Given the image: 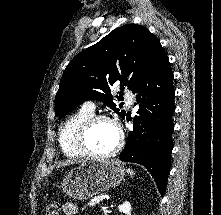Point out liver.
Returning a JSON list of instances; mask_svg holds the SVG:
<instances>
[{"mask_svg":"<svg viewBox=\"0 0 221 215\" xmlns=\"http://www.w3.org/2000/svg\"><path fill=\"white\" fill-rule=\"evenodd\" d=\"M73 162L72 161H67V162H63L62 164H60L59 166H67V165H70L72 164Z\"/></svg>","mask_w":221,"mask_h":215,"instance_id":"obj_1","label":"liver"}]
</instances>
